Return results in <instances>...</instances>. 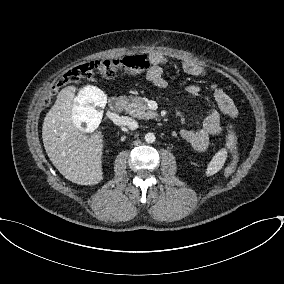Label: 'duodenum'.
Returning a JSON list of instances; mask_svg holds the SVG:
<instances>
[{"label": "duodenum", "instance_id": "1", "mask_svg": "<svg viewBox=\"0 0 284 284\" xmlns=\"http://www.w3.org/2000/svg\"><path fill=\"white\" fill-rule=\"evenodd\" d=\"M109 108L111 111L115 113H119L123 110V103L120 98L118 97H112L109 100Z\"/></svg>", "mask_w": 284, "mask_h": 284}]
</instances>
